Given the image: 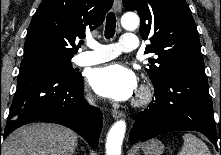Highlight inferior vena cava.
<instances>
[{"label":"inferior vena cava","instance_id":"602c4592","mask_svg":"<svg viewBox=\"0 0 221 155\" xmlns=\"http://www.w3.org/2000/svg\"><path fill=\"white\" fill-rule=\"evenodd\" d=\"M89 103H93V99L90 97L88 98Z\"/></svg>","mask_w":221,"mask_h":155}]
</instances>
